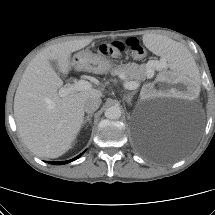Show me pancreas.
I'll return each instance as SVG.
<instances>
[{"mask_svg":"<svg viewBox=\"0 0 215 215\" xmlns=\"http://www.w3.org/2000/svg\"><path fill=\"white\" fill-rule=\"evenodd\" d=\"M145 66L141 65L138 68L134 67L131 64H124L120 65L117 68L113 69L111 71L112 75H123L126 80L131 81L135 80V82L138 83V81L145 79ZM140 72L143 76L140 75Z\"/></svg>","mask_w":215,"mask_h":215,"instance_id":"obj_1","label":"pancreas"}]
</instances>
